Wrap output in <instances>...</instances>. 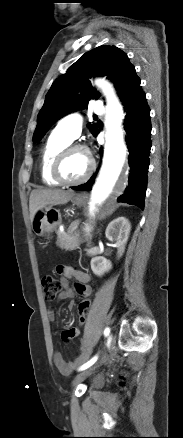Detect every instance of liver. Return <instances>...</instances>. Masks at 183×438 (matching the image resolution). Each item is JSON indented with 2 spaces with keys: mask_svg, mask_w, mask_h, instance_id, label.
I'll return each mask as SVG.
<instances>
[{
  "mask_svg": "<svg viewBox=\"0 0 183 438\" xmlns=\"http://www.w3.org/2000/svg\"><path fill=\"white\" fill-rule=\"evenodd\" d=\"M75 195L72 190L38 189L31 192L29 200L30 219H34L38 210L45 206L62 205Z\"/></svg>",
  "mask_w": 183,
  "mask_h": 438,
  "instance_id": "liver-1",
  "label": "liver"
}]
</instances>
